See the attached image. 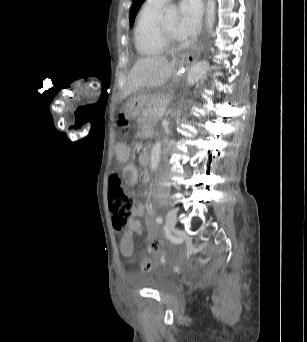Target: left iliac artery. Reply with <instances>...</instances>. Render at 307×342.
Listing matches in <instances>:
<instances>
[{
  "mask_svg": "<svg viewBox=\"0 0 307 342\" xmlns=\"http://www.w3.org/2000/svg\"><path fill=\"white\" fill-rule=\"evenodd\" d=\"M156 221H157V223H159V224L163 222L162 218L159 217V216L157 217Z\"/></svg>",
  "mask_w": 307,
  "mask_h": 342,
  "instance_id": "obj_1",
  "label": "left iliac artery"
}]
</instances>
